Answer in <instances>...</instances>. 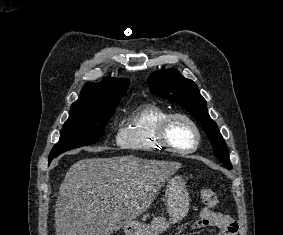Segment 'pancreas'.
Instances as JSON below:
<instances>
[{
	"label": "pancreas",
	"instance_id": "obj_1",
	"mask_svg": "<svg viewBox=\"0 0 283 235\" xmlns=\"http://www.w3.org/2000/svg\"><path fill=\"white\" fill-rule=\"evenodd\" d=\"M148 216H149L148 214L144 215L142 220L145 221Z\"/></svg>",
	"mask_w": 283,
	"mask_h": 235
}]
</instances>
